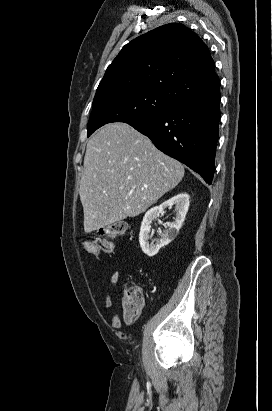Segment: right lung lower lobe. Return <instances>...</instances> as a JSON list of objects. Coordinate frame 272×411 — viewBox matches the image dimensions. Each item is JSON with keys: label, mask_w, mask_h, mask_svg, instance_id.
Returning <instances> with one entry per match:
<instances>
[{"label": "right lung lower lobe", "mask_w": 272, "mask_h": 411, "mask_svg": "<svg viewBox=\"0 0 272 411\" xmlns=\"http://www.w3.org/2000/svg\"><path fill=\"white\" fill-rule=\"evenodd\" d=\"M220 121V86L177 102L149 118L129 123L154 145L211 184Z\"/></svg>", "instance_id": "1"}]
</instances>
